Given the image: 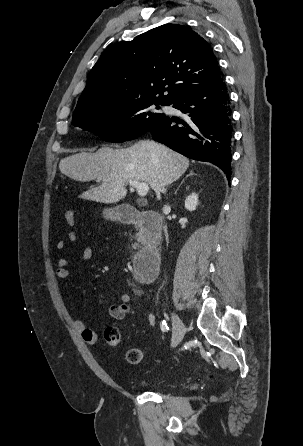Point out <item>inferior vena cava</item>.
I'll return each instance as SVG.
<instances>
[{
	"label": "inferior vena cava",
	"instance_id": "obj_1",
	"mask_svg": "<svg viewBox=\"0 0 303 446\" xmlns=\"http://www.w3.org/2000/svg\"><path fill=\"white\" fill-rule=\"evenodd\" d=\"M165 191H166V189H163V190H162V192H163V193H164ZM166 208H167V206H166V207H164V209H166Z\"/></svg>",
	"mask_w": 303,
	"mask_h": 446
}]
</instances>
